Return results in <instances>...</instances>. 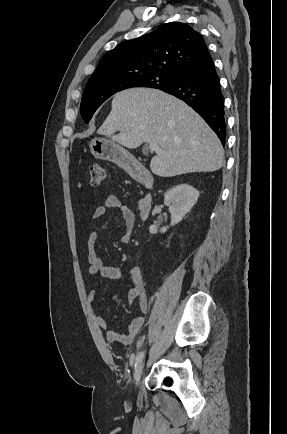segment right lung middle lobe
Listing matches in <instances>:
<instances>
[{
  "label": "right lung middle lobe",
  "mask_w": 287,
  "mask_h": 434,
  "mask_svg": "<svg viewBox=\"0 0 287 434\" xmlns=\"http://www.w3.org/2000/svg\"><path fill=\"white\" fill-rule=\"evenodd\" d=\"M176 76L144 74L135 77H113L88 82L81 101V115L86 122L92 118L98 107L113 94L132 87L165 89L174 84Z\"/></svg>",
  "instance_id": "1"
}]
</instances>
